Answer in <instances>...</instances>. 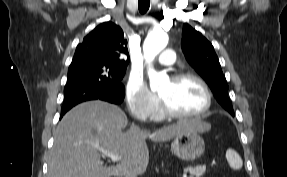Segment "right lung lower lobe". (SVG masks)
I'll return each mask as SVG.
<instances>
[{"label": "right lung lower lobe", "mask_w": 287, "mask_h": 177, "mask_svg": "<svg viewBox=\"0 0 287 177\" xmlns=\"http://www.w3.org/2000/svg\"><path fill=\"white\" fill-rule=\"evenodd\" d=\"M64 95L60 118L75 105L89 100L119 104L124 99L125 88L123 84L110 85L91 79H78L67 82Z\"/></svg>", "instance_id": "right-lung-lower-lobe-1"}]
</instances>
